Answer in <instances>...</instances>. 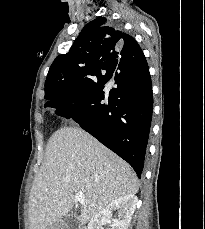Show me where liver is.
<instances>
[{"label": "liver", "mask_w": 205, "mask_h": 229, "mask_svg": "<svg viewBox=\"0 0 205 229\" xmlns=\"http://www.w3.org/2000/svg\"><path fill=\"white\" fill-rule=\"evenodd\" d=\"M84 193L78 220L86 224L112 201L138 192L131 166L78 127H64L49 139L44 163L29 198L30 229H47L66 216L75 194Z\"/></svg>", "instance_id": "liver-1"}]
</instances>
